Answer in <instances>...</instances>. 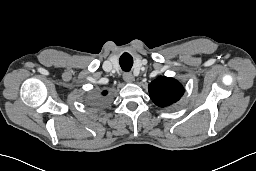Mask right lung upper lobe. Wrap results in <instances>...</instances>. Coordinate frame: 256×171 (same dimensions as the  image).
<instances>
[{
	"mask_svg": "<svg viewBox=\"0 0 256 171\" xmlns=\"http://www.w3.org/2000/svg\"><path fill=\"white\" fill-rule=\"evenodd\" d=\"M106 94H107V91H104V92H103V95H106Z\"/></svg>",
	"mask_w": 256,
	"mask_h": 171,
	"instance_id": "right-lung-upper-lobe-1",
	"label": "right lung upper lobe"
}]
</instances>
